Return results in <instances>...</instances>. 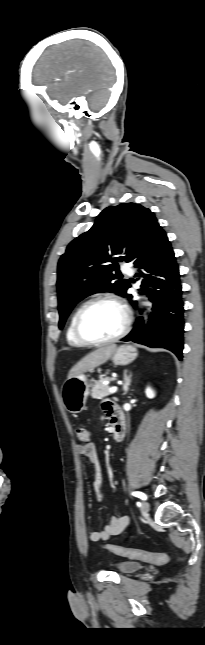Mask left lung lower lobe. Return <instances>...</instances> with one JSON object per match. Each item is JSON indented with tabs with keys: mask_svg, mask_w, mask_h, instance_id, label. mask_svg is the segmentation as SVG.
<instances>
[{
	"mask_svg": "<svg viewBox=\"0 0 205 645\" xmlns=\"http://www.w3.org/2000/svg\"><path fill=\"white\" fill-rule=\"evenodd\" d=\"M132 262L139 268L137 276L144 277L143 287H147L153 312L148 327L138 319L122 341L166 348L182 359L184 308L179 268L171 243L157 221L150 224ZM125 296L132 299L130 294ZM132 305L136 307V301Z\"/></svg>",
	"mask_w": 205,
	"mask_h": 645,
	"instance_id": "obj_1",
	"label": "left lung lower lobe"
}]
</instances>
